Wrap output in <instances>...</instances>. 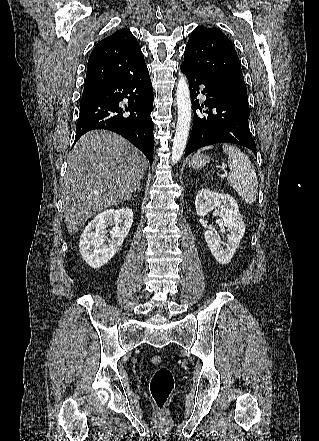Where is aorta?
<instances>
[{
  "instance_id": "762f6f07",
  "label": "aorta",
  "mask_w": 319,
  "mask_h": 441,
  "mask_svg": "<svg viewBox=\"0 0 319 441\" xmlns=\"http://www.w3.org/2000/svg\"><path fill=\"white\" fill-rule=\"evenodd\" d=\"M176 96L178 105V120L172 146V164H176L183 155L189 135L191 122L190 92L187 79L183 74L180 76L177 84Z\"/></svg>"
}]
</instances>
